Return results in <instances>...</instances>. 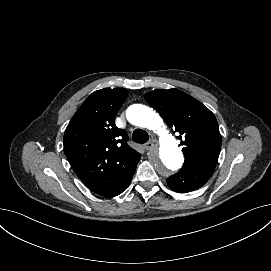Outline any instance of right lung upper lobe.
<instances>
[{"label": "right lung upper lobe", "mask_w": 271, "mask_h": 271, "mask_svg": "<svg viewBox=\"0 0 271 271\" xmlns=\"http://www.w3.org/2000/svg\"><path fill=\"white\" fill-rule=\"evenodd\" d=\"M127 95L122 88L95 91L76 111L64 133L70 165L95 193L116 184L120 172L130 170L141 157L127 144V133L115 125Z\"/></svg>", "instance_id": "obj_1"}]
</instances>
